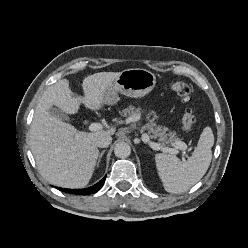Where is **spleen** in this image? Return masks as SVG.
Returning <instances> with one entry per match:
<instances>
[{
    "mask_svg": "<svg viewBox=\"0 0 248 248\" xmlns=\"http://www.w3.org/2000/svg\"><path fill=\"white\" fill-rule=\"evenodd\" d=\"M213 145L212 129L205 127L192 156L186 161L170 154H157L156 168L164 189L169 193H183L200 181L211 163Z\"/></svg>",
    "mask_w": 248,
    "mask_h": 248,
    "instance_id": "spleen-1",
    "label": "spleen"
}]
</instances>
